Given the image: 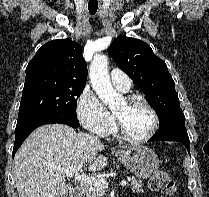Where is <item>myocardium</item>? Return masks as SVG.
Here are the masks:
<instances>
[{
  "mask_svg": "<svg viewBox=\"0 0 209 197\" xmlns=\"http://www.w3.org/2000/svg\"><path fill=\"white\" fill-rule=\"evenodd\" d=\"M125 100L128 103H136V102H140L142 103L151 113L152 116V125L149 129V131L142 137H132L130 135H128L125 130L123 129L120 120L118 119V117L114 114V118H115V129L117 134L119 135V137L121 139H123L124 141L128 142V143H132V144H141L144 142L149 141L154 134L156 133L158 126H159V116L157 111L155 110V108L149 103V101L143 97L142 95L139 94H131L128 95Z\"/></svg>",
  "mask_w": 209,
  "mask_h": 197,
  "instance_id": "1",
  "label": "myocardium"
}]
</instances>
